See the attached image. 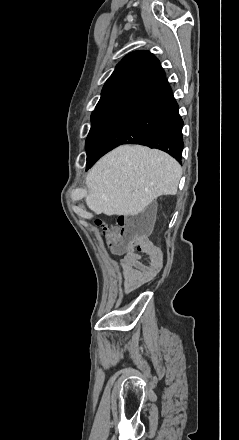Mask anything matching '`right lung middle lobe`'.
<instances>
[{
	"label": "right lung middle lobe",
	"instance_id": "1",
	"mask_svg": "<svg viewBox=\"0 0 239 440\" xmlns=\"http://www.w3.org/2000/svg\"><path fill=\"white\" fill-rule=\"evenodd\" d=\"M131 99H114L97 105L91 115V129L86 139L87 155L96 149L100 139L116 122Z\"/></svg>",
	"mask_w": 239,
	"mask_h": 440
}]
</instances>
